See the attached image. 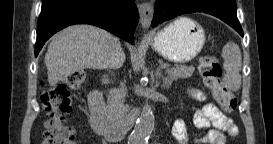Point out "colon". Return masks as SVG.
Masks as SVG:
<instances>
[{"instance_id": "obj_1", "label": "colon", "mask_w": 273, "mask_h": 144, "mask_svg": "<svg viewBox=\"0 0 273 144\" xmlns=\"http://www.w3.org/2000/svg\"><path fill=\"white\" fill-rule=\"evenodd\" d=\"M199 73L203 83L209 89L215 101L226 111L233 112L237 107V98L222 84L223 68L219 61L211 56L204 57L199 64ZM86 79L84 70L73 71L62 84L45 90L42 100L50 113L44 135L45 144H71L74 131L65 125L61 115L71 110V98L68 88H80Z\"/></svg>"}]
</instances>
